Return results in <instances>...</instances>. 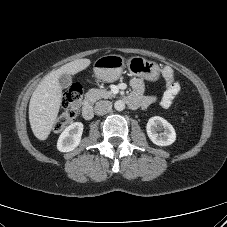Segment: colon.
Wrapping results in <instances>:
<instances>
[{"label": "colon", "instance_id": "5ec220e1", "mask_svg": "<svg viewBox=\"0 0 227 227\" xmlns=\"http://www.w3.org/2000/svg\"><path fill=\"white\" fill-rule=\"evenodd\" d=\"M83 101V89L80 84H73L64 94L62 100L63 113L56 120L54 130L60 132L77 115Z\"/></svg>", "mask_w": 227, "mask_h": 227}]
</instances>
